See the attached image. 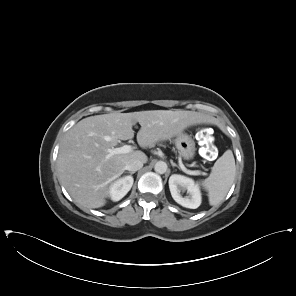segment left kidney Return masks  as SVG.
Wrapping results in <instances>:
<instances>
[{"label": "left kidney", "instance_id": "1", "mask_svg": "<svg viewBox=\"0 0 296 296\" xmlns=\"http://www.w3.org/2000/svg\"><path fill=\"white\" fill-rule=\"evenodd\" d=\"M169 189L172 198L181 206L190 209H196L200 206V188L191 178L179 174H173L169 178ZM185 190L188 195L183 197L181 192Z\"/></svg>", "mask_w": 296, "mask_h": 296}]
</instances>
